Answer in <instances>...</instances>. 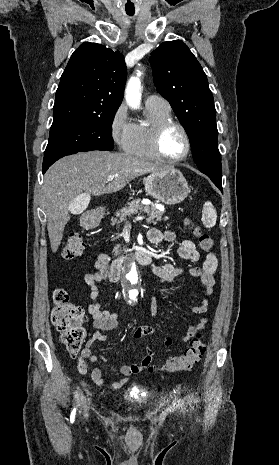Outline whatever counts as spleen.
<instances>
[{"label": "spleen", "instance_id": "spleen-1", "mask_svg": "<svg viewBox=\"0 0 279 465\" xmlns=\"http://www.w3.org/2000/svg\"><path fill=\"white\" fill-rule=\"evenodd\" d=\"M217 213L211 202H206L202 210V222L205 227L211 228L215 226Z\"/></svg>", "mask_w": 279, "mask_h": 465}]
</instances>
